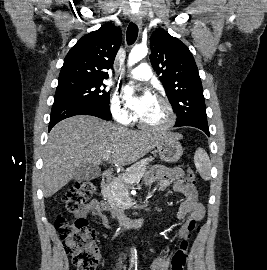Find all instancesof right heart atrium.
I'll list each match as a JSON object with an SVG mask.
<instances>
[{"mask_svg":"<svg viewBox=\"0 0 267 270\" xmlns=\"http://www.w3.org/2000/svg\"><path fill=\"white\" fill-rule=\"evenodd\" d=\"M111 113L118 122L124 124L131 122L133 118L118 95H114L111 100Z\"/></svg>","mask_w":267,"mask_h":270,"instance_id":"1","label":"right heart atrium"}]
</instances>
